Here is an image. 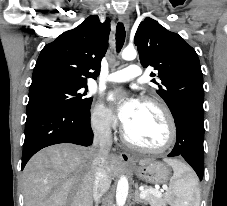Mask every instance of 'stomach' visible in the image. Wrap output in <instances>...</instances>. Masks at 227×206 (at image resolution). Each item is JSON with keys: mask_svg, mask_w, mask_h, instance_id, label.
Listing matches in <instances>:
<instances>
[{"mask_svg": "<svg viewBox=\"0 0 227 206\" xmlns=\"http://www.w3.org/2000/svg\"><path fill=\"white\" fill-rule=\"evenodd\" d=\"M134 173L143 181L152 184H164L170 179V169L159 161L139 162L133 166Z\"/></svg>", "mask_w": 227, "mask_h": 206, "instance_id": "0dacf381", "label": "stomach"}]
</instances>
